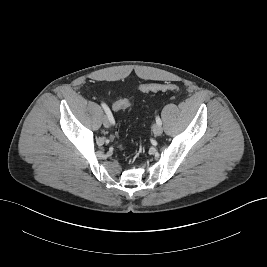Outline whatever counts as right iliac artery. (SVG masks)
Here are the masks:
<instances>
[{
  "label": "right iliac artery",
  "instance_id": "right-iliac-artery-1",
  "mask_svg": "<svg viewBox=\"0 0 267 267\" xmlns=\"http://www.w3.org/2000/svg\"><path fill=\"white\" fill-rule=\"evenodd\" d=\"M101 106L103 107L109 121L111 123H113V116H112V113H111L110 109L108 108V106L105 103H101Z\"/></svg>",
  "mask_w": 267,
  "mask_h": 267
}]
</instances>
